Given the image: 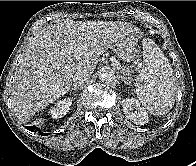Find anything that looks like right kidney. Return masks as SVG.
<instances>
[{
  "mask_svg": "<svg viewBox=\"0 0 196 166\" xmlns=\"http://www.w3.org/2000/svg\"><path fill=\"white\" fill-rule=\"evenodd\" d=\"M71 104L72 99L65 98L63 100L58 101L54 107H51L49 112L53 118H61L69 112Z\"/></svg>",
  "mask_w": 196,
  "mask_h": 166,
  "instance_id": "1",
  "label": "right kidney"
}]
</instances>
